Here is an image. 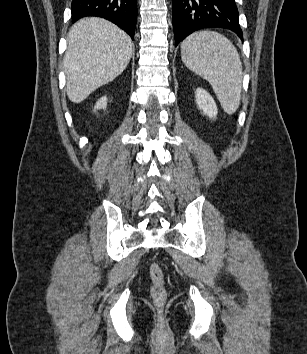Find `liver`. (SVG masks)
<instances>
[{
	"label": "liver",
	"mask_w": 307,
	"mask_h": 354,
	"mask_svg": "<svg viewBox=\"0 0 307 354\" xmlns=\"http://www.w3.org/2000/svg\"><path fill=\"white\" fill-rule=\"evenodd\" d=\"M67 40L66 91L74 103L84 101L96 89L119 76L131 59L134 46L128 34L98 17L77 21Z\"/></svg>",
	"instance_id": "1"
}]
</instances>
